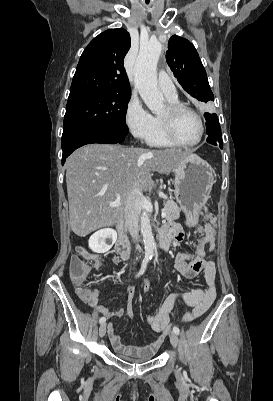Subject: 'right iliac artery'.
Returning <instances> with one entry per match:
<instances>
[{
    "instance_id": "1",
    "label": "right iliac artery",
    "mask_w": 273,
    "mask_h": 401,
    "mask_svg": "<svg viewBox=\"0 0 273 401\" xmlns=\"http://www.w3.org/2000/svg\"><path fill=\"white\" fill-rule=\"evenodd\" d=\"M147 262H148V258H145L143 260V263H142V266H141V270L139 271L137 276H140V275H142L144 273V271L146 269ZM105 321H106L105 317H101L100 320H99L100 323H104Z\"/></svg>"
}]
</instances>
